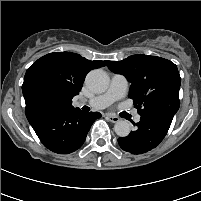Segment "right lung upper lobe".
<instances>
[{
  "instance_id": "obj_1",
  "label": "right lung upper lobe",
  "mask_w": 201,
  "mask_h": 201,
  "mask_svg": "<svg viewBox=\"0 0 201 201\" xmlns=\"http://www.w3.org/2000/svg\"><path fill=\"white\" fill-rule=\"evenodd\" d=\"M105 65L106 61H90L72 52H54L41 57L24 77L25 110L38 105L72 108V98L81 91L87 73Z\"/></svg>"
}]
</instances>
